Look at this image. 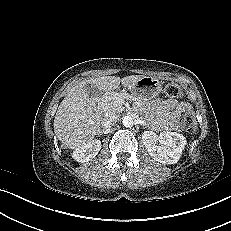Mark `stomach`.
I'll return each mask as SVG.
<instances>
[{
    "label": "stomach",
    "mask_w": 231,
    "mask_h": 231,
    "mask_svg": "<svg viewBox=\"0 0 231 231\" xmlns=\"http://www.w3.org/2000/svg\"><path fill=\"white\" fill-rule=\"evenodd\" d=\"M131 96L139 100H151L159 96L162 91V83L158 78L144 76L135 84L128 87Z\"/></svg>",
    "instance_id": "stomach-1"
}]
</instances>
